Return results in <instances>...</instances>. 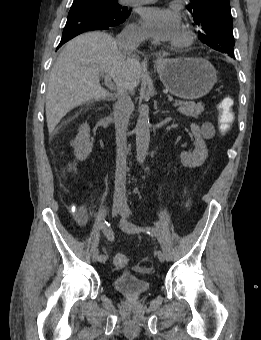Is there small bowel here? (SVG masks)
<instances>
[{"instance_id": "obj_1", "label": "small bowel", "mask_w": 261, "mask_h": 340, "mask_svg": "<svg viewBox=\"0 0 261 340\" xmlns=\"http://www.w3.org/2000/svg\"><path fill=\"white\" fill-rule=\"evenodd\" d=\"M88 216L84 212H79L77 215V221L80 225H85L87 222Z\"/></svg>"}]
</instances>
